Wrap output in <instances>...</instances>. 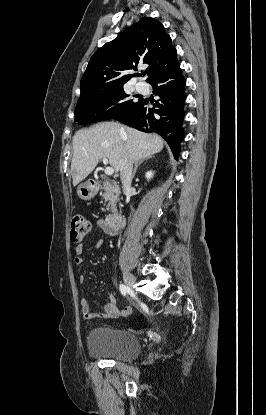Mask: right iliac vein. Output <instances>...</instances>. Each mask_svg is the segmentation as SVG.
<instances>
[{"label":"right iliac vein","instance_id":"right-iliac-vein-1","mask_svg":"<svg viewBox=\"0 0 266 415\" xmlns=\"http://www.w3.org/2000/svg\"><path fill=\"white\" fill-rule=\"evenodd\" d=\"M123 277H124V281H125V284L127 285V287L130 290H133L134 283H135L134 276L129 272H125Z\"/></svg>","mask_w":266,"mask_h":415}]
</instances>
